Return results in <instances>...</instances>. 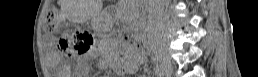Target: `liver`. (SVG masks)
Instances as JSON below:
<instances>
[{
	"instance_id": "obj_1",
	"label": "liver",
	"mask_w": 258,
	"mask_h": 77,
	"mask_svg": "<svg viewBox=\"0 0 258 77\" xmlns=\"http://www.w3.org/2000/svg\"><path fill=\"white\" fill-rule=\"evenodd\" d=\"M102 7V0H61L62 14L77 22H85L97 16Z\"/></svg>"
}]
</instances>
